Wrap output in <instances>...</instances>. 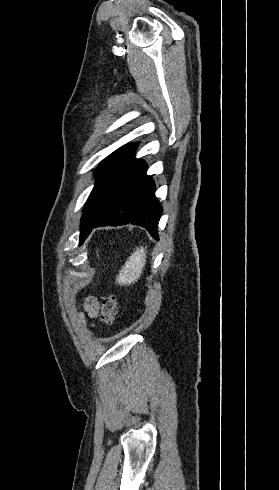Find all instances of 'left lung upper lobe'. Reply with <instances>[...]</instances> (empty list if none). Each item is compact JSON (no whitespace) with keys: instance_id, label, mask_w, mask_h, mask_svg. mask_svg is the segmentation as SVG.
I'll use <instances>...</instances> for the list:
<instances>
[{"instance_id":"1","label":"left lung upper lobe","mask_w":279,"mask_h":490,"mask_svg":"<svg viewBox=\"0 0 279 490\" xmlns=\"http://www.w3.org/2000/svg\"><path fill=\"white\" fill-rule=\"evenodd\" d=\"M136 144H127L110 154L96 168V184L89 195L80 224V244L87 230L105 216L113 207L116 197L140 160L134 158Z\"/></svg>"}]
</instances>
